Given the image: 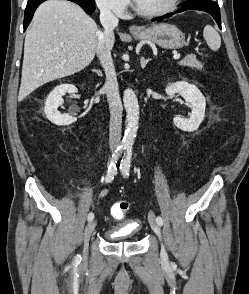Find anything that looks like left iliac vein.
Wrapping results in <instances>:
<instances>
[{
	"mask_svg": "<svg viewBox=\"0 0 249 294\" xmlns=\"http://www.w3.org/2000/svg\"><path fill=\"white\" fill-rule=\"evenodd\" d=\"M148 219H149V223H150V226H151L153 232L157 235L158 238H161V230H160V227H159L158 223L155 221V216H154V214L152 212L149 213ZM161 258L163 260H166L167 259V253L165 251L164 246H162Z\"/></svg>",
	"mask_w": 249,
	"mask_h": 294,
	"instance_id": "1",
	"label": "left iliac vein"
}]
</instances>
